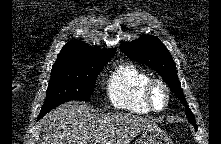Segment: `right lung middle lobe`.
<instances>
[{"mask_svg":"<svg viewBox=\"0 0 221 144\" xmlns=\"http://www.w3.org/2000/svg\"><path fill=\"white\" fill-rule=\"evenodd\" d=\"M105 63L53 66L46 99L38 119L53 108L71 100H88Z\"/></svg>","mask_w":221,"mask_h":144,"instance_id":"dd1d6c3e","label":"right lung middle lobe"}]
</instances>
